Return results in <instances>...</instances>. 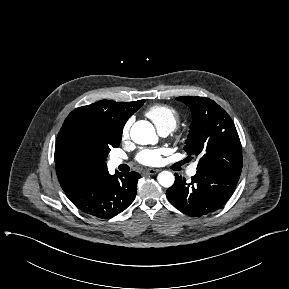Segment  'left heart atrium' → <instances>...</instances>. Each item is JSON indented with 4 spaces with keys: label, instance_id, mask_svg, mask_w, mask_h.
<instances>
[{
    "label": "left heart atrium",
    "instance_id": "1",
    "mask_svg": "<svg viewBox=\"0 0 289 289\" xmlns=\"http://www.w3.org/2000/svg\"><path fill=\"white\" fill-rule=\"evenodd\" d=\"M168 153L167 148L143 149L137 154L136 160L145 166H156L162 162L163 156Z\"/></svg>",
    "mask_w": 289,
    "mask_h": 289
}]
</instances>
